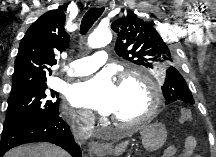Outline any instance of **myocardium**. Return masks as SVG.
Wrapping results in <instances>:
<instances>
[{
	"label": "myocardium",
	"instance_id": "f54148a6",
	"mask_svg": "<svg viewBox=\"0 0 216 157\" xmlns=\"http://www.w3.org/2000/svg\"><path fill=\"white\" fill-rule=\"evenodd\" d=\"M130 80L139 81L140 83L146 86L149 92L148 109L144 115L133 121H122L114 117H112L111 119L119 125L137 127L147 122H150L154 118V116L158 113L162 105L163 98L155 82L143 71L139 69L126 70L120 76L119 86L123 85L126 81Z\"/></svg>",
	"mask_w": 216,
	"mask_h": 157
}]
</instances>
